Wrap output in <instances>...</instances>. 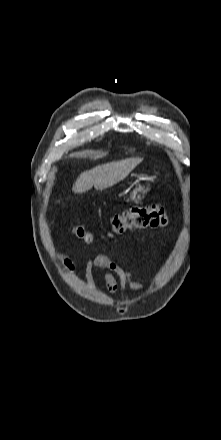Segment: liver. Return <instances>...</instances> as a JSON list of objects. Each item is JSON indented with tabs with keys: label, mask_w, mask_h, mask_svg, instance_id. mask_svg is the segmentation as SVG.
Returning <instances> with one entry per match:
<instances>
[{
	"label": "liver",
	"mask_w": 221,
	"mask_h": 440,
	"mask_svg": "<svg viewBox=\"0 0 221 440\" xmlns=\"http://www.w3.org/2000/svg\"><path fill=\"white\" fill-rule=\"evenodd\" d=\"M142 160L134 157L96 166L80 174L73 184L72 191L81 194L89 191L93 186L96 190L112 187L128 176Z\"/></svg>",
	"instance_id": "1"
}]
</instances>
